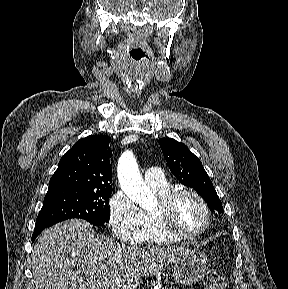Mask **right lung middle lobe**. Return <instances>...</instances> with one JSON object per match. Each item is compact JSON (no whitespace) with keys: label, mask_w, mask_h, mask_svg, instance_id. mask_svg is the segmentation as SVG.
I'll use <instances>...</instances> for the list:
<instances>
[{"label":"right lung middle lobe","mask_w":288,"mask_h":289,"mask_svg":"<svg viewBox=\"0 0 288 289\" xmlns=\"http://www.w3.org/2000/svg\"><path fill=\"white\" fill-rule=\"evenodd\" d=\"M112 188L97 190H49L38 214L35 230H43L60 221L81 218L96 226L109 221L108 205Z\"/></svg>","instance_id":"right-lung-middle-lobe-1"}]
</instances>
